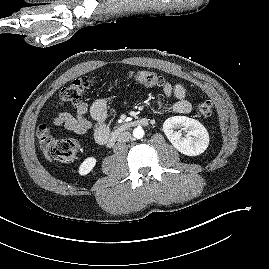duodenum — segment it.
<instances>
[{"instance_id": "duodenum-1", "label": "duodenum", "mask_w": 269, "mask_h": 269, "mask_svg": "<svg viewBox=\"0 0 269 269\" xmlns=\"http://www.w3.org/2000/svg\"><path fill=\"white\" fill-rule=\"evenodd\" d=\"M148 124L149 120L146 118H138L122 123L113 132L109 133L106 143L108 146H112L116 142L120 134L123 133L124 131L133 127L147 126Z\"/></svg>"}]
</instances>
